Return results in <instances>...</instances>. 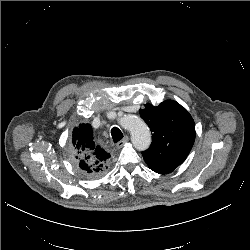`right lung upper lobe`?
<instances>
[{
    "label": "right lung upper lobe",
    "mask_w": 250,
    "mask_h": 250,
    "mask_svg": "<svg viewBox=\"0 0 250 250\" xmlns=\"http://www.w3.org/2000/svg\"><path fill=\"white\" fill-rule=\"evenodd\" d=\"M72 150L75 163L83 169H103L109 165L110 153L94 142L92 127L88 123L74 128Z\"/></svg>",
    "instance_id": "right-lung-upper-lobe-1"
}]
</instances>
